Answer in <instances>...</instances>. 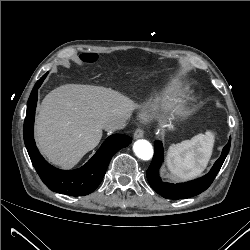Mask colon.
<instances>
[{
    "label": "colon",
    "instance_id": "obj_1",
    "mask_svg": "<svg viewBox=\"0 0 250 250\" xmlns=\"http://www.w3.org/2000/svg\"><path fill=\"white\" fill-rule=\"evenodd\" d=\"M81 58L87 63H92L95 61V57L92 54H83Z\"/></svg>",
    "mask_w": 250,
    "mask_h": 250
}]
</instances>
